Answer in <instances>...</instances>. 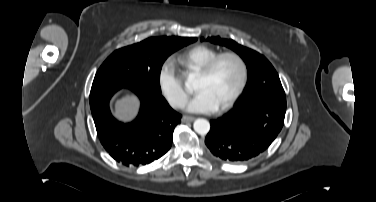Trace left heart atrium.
I'll return each instance as SVG.
<instances>
[{
	"label": "left heart atrium",
	"mask_w": 376,
	"mask_h": 202,
	"mask_svg": "<svg viewBox=\"0 0 376 202\" xmlns=\"http://www.w3.org/2000/svg\"><path fill=\"white\" fill-rule=\"evenodd\" d=\"M185 107L190 112H212L217 110V105L206 90H198L195 95L189 99Z\"/></svg>",
	"instance_id": "1"
}]
</instances>
